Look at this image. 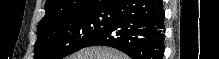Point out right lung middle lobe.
Masks as SVG:
<instances>
[{"instance_id": "obj_1", "label": "right lung middle lobe", "mask_w": 219, "mask_h": 59, "mask_svg": "<svg viewBox=\"0 0 219 59\" xmlns=\"http://www.w3.org/2000/svg\"><path fill=\"white\" fill-rule=\"evenodd\" d=\"M112 10L59 18L37 28L35 59H62L86 46L106 30Z\"/></svg>"}]
</instances>
